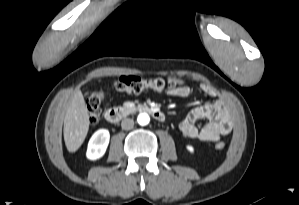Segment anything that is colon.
<instances>
[{"instance_id":"5ec220e1","label":"colon","mask_w":299,"mask_h":205,"mask_svg":"<svg viewBox=\"0 0 299 205\" xmlns=\"http://www.w3.org/2000/svg\"><path fill=\"white\" fill-rule=\"evenodd\" d=\"M115 86L120 92L127 94H137L146 89H153L156 91L171 90L174 89L177 84L173 80L162 77L141 78L139 76L128 75L120 77ZM103 98V92L99 91L93 93L87 100V110L90 122L92 123L97 122L100 116ZM215 148L222 150L225 148V143L219 141L215 144Z\"/></svg>"}]
</instances>
